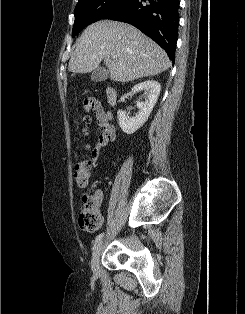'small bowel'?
<instances>
[{
	"mask_svg": "<svg viewBox=\"0 0 245 314\" xmlns=\"http://www.w3.org/2000/svg\"><path fill=\"white\" fill-rule=\"evenodd\" d=\"M84 110L93 112L98 126L96 142L92 149V160L96 163L102 150L115 141L116 130L111 115L104 109L102 102L98 99L89 98V103L84 104ZM101 200L102 196L98 195V204L101 203Z\"/></svg>",
	"mask_w": 245,
	"mask_h": 314,
	"instance_id": "obj_1",
	"label": "small bowel"
}]
</instances>
